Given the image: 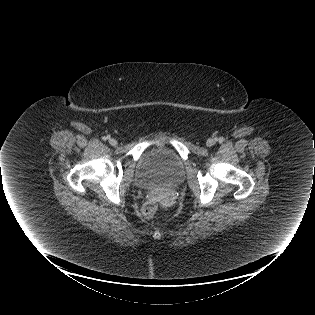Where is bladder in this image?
I'll list each match as a JSON object with an SVG mask.
<instances>
[{"mask_svg": "<svg viewBox=\"0 0 315 315\" xmlns=\"http://www.w3.org/2000/svg\"><path fill=\"white\" fill-rule=\"evenodd\" d=\"M184 176L181 158L167 147L154 148L141 159L136 181L140 187L175 186Z\"/></svg>", "mask_w": 315, "mask_h": 315, "instance_id": "31cf9c89", "label": "bladder"}]
</instances>
